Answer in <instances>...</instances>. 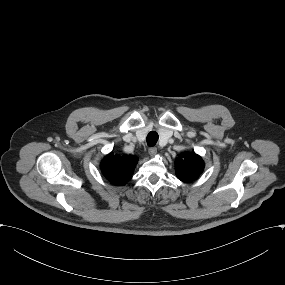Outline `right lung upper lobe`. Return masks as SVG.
Listing matches in <instances>:
<instances>
[{"label":"right lung upper lobe","mask_w":285,"mask_h":285,"mask_svg":"<svg viewBox=\"0 0 285 285\" xmlns=\"http://www.w3.org/2000/svg\"><path fill=\"white\" fill-rule=\"evenodd\" d=\"M138 158L133 155H114L110 153L101 162L103 175L112 184L124 185L132 178Z\"/></svg>","instance_id":"obj_1"}]
</instances>
